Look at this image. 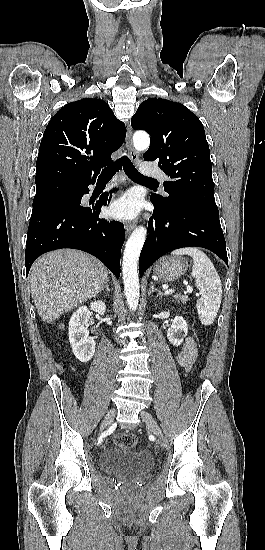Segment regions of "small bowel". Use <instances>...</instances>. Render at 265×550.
Here are the masks:
<instances>
[{
	"instance_id": "obj_1",
	"label": "small bowel",
	"mask_w": 265,
	"mask_h": 550,
	"mask_svg": "<svg viewBox=\"0 0 265 550\" xmlns=\"http://www.w3.org/2000/svg\"><path fill=\"white\" fill-rule=\"evenodd\" d=\"M197 357V347L192 337H187L184 340L181 351L178 353L177 363L185 370H190Z\"/></svg>"
}]
</instances>
